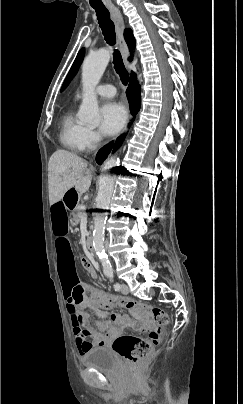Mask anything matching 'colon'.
<instances>
[{
    "label": "colon",
    "instance_id": "colon-1",
    "mask_svg": "<svg viewBox=\"0 0 243 404\" xmlns=\"http://www.w3.org/2000/svg\"><path fill=\"white\" fill-rule=\"evenodd\" d=\"M80 265L85 272H91L92 267L88 259L82 258L80 260ZM91 305L98 310L118 306L126 308L134 314H151L157 326L150 331L147 338L136 335H120L113 342L114 350L130 364H137L150 355L154 347L157 346L160 341L161 327L168 323V315L162 308L147 305L135 300L117 299L114 301H108L93 297Z\"/></svg>",
    "mask_w": 243,
    "mask_h": 404
}]
</instances>
